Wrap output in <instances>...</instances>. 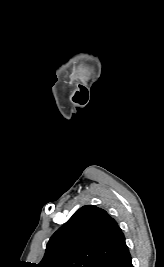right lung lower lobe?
Instances as JSON below:
<instances>
[{"label": "right lung lower lobe", "instance_id": "98d812e1", "mask_svg": "<svg viewBox=\"0 0 164 267\" xmlns=\"http://www.w3.org/2000/svg\"><path fill=\"white\" fill-rule=\"evenodd\" d=\"M99 267H133L128 247L126 245L122 247Z\"/></svg>", "mask_w": 164, "mask_h": 267}]
</instances>
